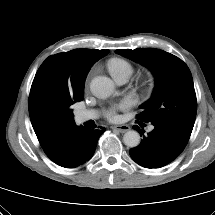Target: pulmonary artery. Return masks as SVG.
<instances>
[{
  "label": "pulmonary artery",
  "instance_id": "obj_1",
  "mask_svg": "<svg viewBox=\"0 0 215 215\" xmlns=\"http://www.w3.org/2000/svg\"><path fill=\"white\" fill-rule=\"evenodd\" d=\"M117 82V84L119 85H123L127 82L126 78H120L115 80ZM98 117V112L96 110H83L80 111L76 114L75 116V120L77 123H83L86 122L88 120H93L96 119ZM153 126L149 127V130H152Z\"/></svg>",
  "mask_w": 215,
  "mask_h": 215
}]
</instances>
